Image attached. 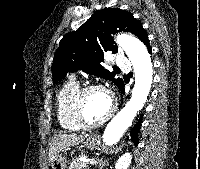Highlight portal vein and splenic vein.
Wrapping results in <instances>:
<instances>
[{
    "label": "portal vein and splenic vein",
    "instance_id": "obj_1",
    "mask_svg": "<svg viewBox=\"0 0 200 169\" xmlns=\"http://www.w3.org/2000/svg\"><path fill=\"white\" fill-rule=\"evenodd\" d=\"M87 162H89L90 164H92V165H94V164H96L97 163V161L96 160H89V161H87Z\"/></svg>",
    "mask_w": 200,
    "mask_h": 169
}]
</instances>
